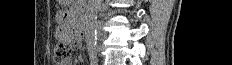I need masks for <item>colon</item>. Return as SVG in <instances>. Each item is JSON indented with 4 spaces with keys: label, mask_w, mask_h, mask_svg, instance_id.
I'll return each mask as SVG.
<instances>
[{
    "label": "colon",
    "mask_w": 232,
    "mask_h": 65,
    "mask_svg": "<svg viewBox=\"0 0 232 65\" xmlns=\"http://www.w3.org/2000/svg\"><path fill=\"white\" fill-rule=\"evenodd\" d=\"M69 58V49L65 45L58 44L54 48V60L57 65H62Z\"/></svg>",
    "instance_id": "obj_1"
}]
</instances>
